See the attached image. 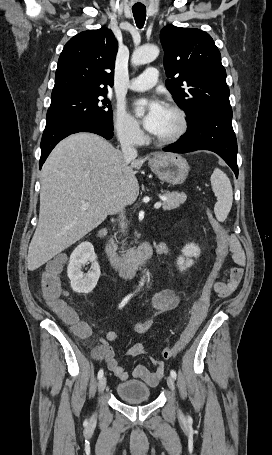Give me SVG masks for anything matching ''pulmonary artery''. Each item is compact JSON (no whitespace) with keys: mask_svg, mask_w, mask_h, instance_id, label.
I'll return each instance as SVG.
<instances>
[{"mask_svg":"<svg viewBox=\"0 0 272 455\" xmlns=\"http://www.w3.org/2000/svg\"><path fill=\"white\" fill-rule=\"evenodd\" d=\"M158 80V71L154 67L147 68L141 75L128 83V88L135 91H144L152 88Z\"/></svg>","mask_w":272,"mask_h":455,"instance_id":"1","label":"pulmonary artery"}]
</instances>
